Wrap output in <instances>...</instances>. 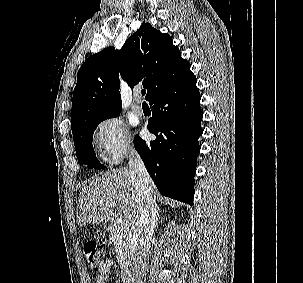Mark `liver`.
<instances>
[{
	"mask_svg": "<svg viewBox=\"0 0 303 283\" xmlns=\"http://www.w3.org/2000/svg\"><path fill=\"white\" fill-rule=\"evenodd\" d=\"M118 205L129 226H136L139 219L138 195L131 171L127 168L104 172L82 186L77 205V223L82 226L109 221L113 209Z\"/></svg>",
	"mask_w": 303,
	"mask_h": 283,
	"instance_id": "liver-1",
	"label": "liver"
}]
</instances>
